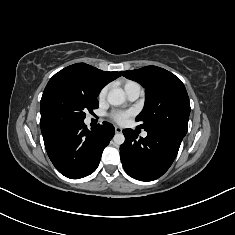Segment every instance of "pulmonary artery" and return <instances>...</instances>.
<instances>
[{
    "label": "pulmonary artery",
    "mask_w": 235,
    "mask_h": 235,
    "mask_svg": "<svg viewBox=\"0 0 235 235\" xmlns=\"http://www.w3.org/2000/svg\"><path fill=\"white\" fill-rule=\"evenodd\" d=\"M125 92L129 101H135L136 99H138V97L141 94V88L139 86H132V87L127 88ZM142 136L146 137L147 133L143 132Z\"/></svg>",
    "instance_id": "pulmonary-artery-1"
}]
</instances>
